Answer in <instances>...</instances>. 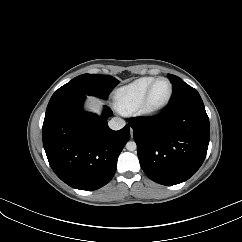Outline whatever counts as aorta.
<instances>
[{"instance_id":"762f6f07","label":"aorta","mask_w":242,"mask_h":242,"mask_svg":"<svg viewBox=\"0 0 242 242\" xmlns=\"http://www.w3.org/2000/svg\"><path fill=\"white\" fill-rule=\"evenodd\" d=\"M126 148H127L128 151H134V150H136L137 145L134 141H129L126 144Z\"/></svg>"}]
</instances>
